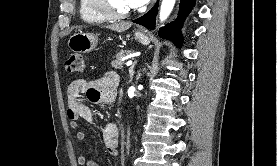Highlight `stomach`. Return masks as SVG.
I'll return each instance as SVG.
<instances>
[{
  "label": "stomach",
  "instance_id": "0dacf381",
  "mask_svg": "<svg viewBox=\"0 0 277 166\" xmlns=\"http://www.w3.org/2000/svg\"><path fill=\"white\" fill-rule=\"evenodd\" d=\"M135 39L143 45H148L150 39L146 33L136 30ZM98 43V37L94 33L76 32L68 40V46L75 53H89L95 49Z\"/></svg>",
  "mask_w": 277,
  "mask_h": 166
}]
</instances>
